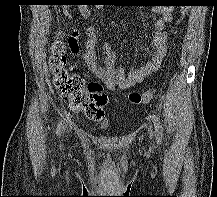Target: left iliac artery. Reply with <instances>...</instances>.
<instances>
[{"mask_svg":"<svg viewBox=\"0 0 217 197\" xmlns=\"http://www.w3.org/2000/svg\"><path fill=\"white\" fill-rule=\"evenodd\" d=\"M152 120H153L154 127H155L156 138L158 141H161L162 140V124L159 118L157 117V115L155 114L152 115Z\"/></svg>","mask_w":217,"mask_h":197,"instance_id":"44dca946","label":"left iliac artery"}]
</instances>
